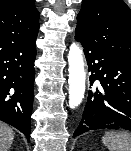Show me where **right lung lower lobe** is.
I'll return each mask as SVG.
<instances>
[{
  "label": "right lung lower lobe",
  "instance_id": "right-lung-lower-lobe-1",
  "mask_svg": "<svg viewBox=\"0 0 131 151\" xmlns=\"http://www.w3.org/2000/svg\"><path fill=\"white\" fill-rule=\"evenodd\" d=\"M36 37L0 42V120L30 140Z\"/></svg>",
  "mask_w": 131,
  "mask_h": 151
}]
</instances>
